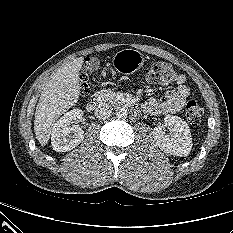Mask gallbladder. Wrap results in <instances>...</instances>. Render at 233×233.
Wrapping results in <instances>:
<instances>
[{"instance_id": "bac80fb5", "label": "gallbladder", "mask_w": 233, "mask_h": 233, "mask_svg": "<svg viewBox=\"0 0 233 233\" xmlns=\"http://www.w3.org/2000/svg\"><path fill=\"white\" fill-rule=\"evenodd\" d=\"M86 64V68L90 72L97 71L99 69V60L95 57L90 58Z\"/></svg>"}]
</instances>
